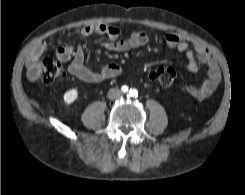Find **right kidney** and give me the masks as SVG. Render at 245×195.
Returning <instances> with one entry per match:
<instances>
[{"instance_id": "right-kidney-1", "label": "right kidney", "mask_w": 245, "mask_h": 195, "mask_svg": "<svg viewBox=\"0 0 245 195\" xmlns=\"http://www.w3.org/2000/svg\"><path fill=\"white\" fill-rule=\"evenodd\" d=\"M78 98V90L76 88H72L66 91L63 95V100L66 106H69Z\"/></svg>"}]
</instances>
